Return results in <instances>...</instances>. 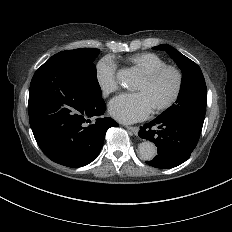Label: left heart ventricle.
<instances>
[{
  "mask_svg": "<svg viewBox=\"0 0 232 232\" xmlns=\"http://www.w3.org/2000/svg\"><path fill=\"white\" fill-rule=\"evenodd\" d=\"M177 84V77L171 70L162 73L154 82L146 83L142 78L135 90L145 92L155 109L166 103L174 93Z\"/></svg>",
  "mask_w": 232,
  "mask_h": 232,
  "instance_id": "obj_1",
  "label": "left heart ventricle"
}]
</instances>
